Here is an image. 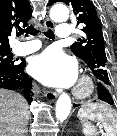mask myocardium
Segmentation results:
<instances>
[{
  "label": "myocardium",
  "mask_w": 117,
  "mask_h": 136,
  "mask_svg": "<svg viewBox=\"0 0 117 136\" xmlns=\"http://www.w3.org/2000/svg\"><path fill=\"white\" fill-rule=\"evenodd\" d=\"M94 90L95 84L93 79L88 75H82L73 90V94L76 98L84 99L92 95Z\"/></svg>",
  "instance_id": "obj_1"
}]
</instances>
